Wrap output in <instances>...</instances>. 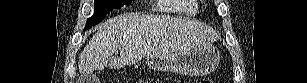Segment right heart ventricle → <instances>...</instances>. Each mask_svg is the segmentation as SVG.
<instances>
[{
    "instance_id": "obj_1",
    "label": "right heart ventricle",
    "mask_w": 307,
    "mask_h": 83,
    "mask_svg": "<svg viewBox=\"0 0 307 83\" xmlns=\"http://www.w3.org/2000/svg\"><path fill=\"white\" fill-rule=\"evenodd\" d=\"M161 10L180 14H192L195 7L187 0H161Z\"/></svg>"
}]
</instances>
